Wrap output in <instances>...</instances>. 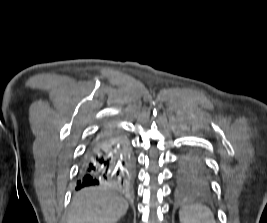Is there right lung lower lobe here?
I'll list each match as a JSON object with an SVG mask.
<instances>
[{
	"instance_id": "98d812e1",
	"label": "right lung lower lobe",
	"mask_w": 267,
	"mask_h": 223,
	"mask_svg": "<svg viewBox=\"0 0 267 223\" xmlns=\"http://www.w3.org/2000/svg\"><path fill=\"white\" fill-rule=\"evenodd\" d=\"M134 179V164L126 136L117 128L101 131L88 146L76 189L110 185L127 191Z\"/></svg>"
}]
</instances>
